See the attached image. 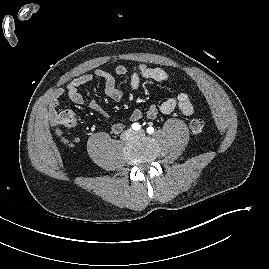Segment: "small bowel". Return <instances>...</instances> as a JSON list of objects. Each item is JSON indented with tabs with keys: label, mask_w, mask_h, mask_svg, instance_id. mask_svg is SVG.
<instances>
[{
	"label": "small bowel",
	"mask_w": 269,
	"mask_h": 269,
	"mask_svg": "<svg viewBox=\"0 0 269 269\" xmlns=\"http://www.w3.org/2000/svg\"><path fill=\"white\" fill-rule=\"evenodd\" d=\"M128 69L124 65H119L115 69V74L118 77H123L127 75ZM95 78L102 79L104 81V91L105 94L114 101L121 100L123 93L121 89L117 86L116 78L111 73L97 69L94 73H87L80 75L73 80H71L65 88L56 89L49 100V115L53 120L59 122L61 116L69 111L60 112L58 107L60 103V98L63 95H67L69 100L77 105H82L84 103V98L79 92V88L83 85L90 83ZM151 80L155 82H166L169 80V74L159 67H152L146 64H139L132 68L129 76V88L131 90H136L142 81ZM89 106L92 110L97 112L104 118L108 117V113L104 108L98 104L95 100L90 101ZM175 109H178L183 116H190L194 112L192 101L189 95L185 92H181L176 96L170 97L163 101L160 105H151L147 108L145 115L149 119H155L159 113L170 114ZM70 113V112H69ZM143 117V112L141 110H134L130 114V121L137 122ZM122 123H115L112 126V131L115 134L120 133L123 130Z\"/></svg>",
	"instance_id": "small-bowel-1"
}]
</instances>
